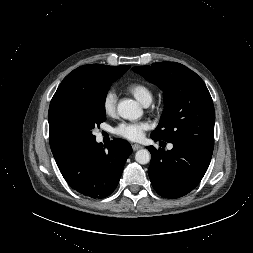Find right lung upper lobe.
<instances>
[{"instance_id":"1","label":"right lung upper lobe","mask_w":253,"mask_h":253,"mask_svg":"<svg viewBox=\"0 0 253 253\" xmlns=\"http://www.w3.org/2000/svg\"><path fill=\"white\" fill-rule=\"evenodd\" d=\"M129 68L130 65L89 64L73 70L63 79L51 100L48 112L49 141L54 157L73 146L61 134L56 123V111L60 103L68 97H83L94 93L101 81L117 80Z\"/></svg>"}]
</instances>
